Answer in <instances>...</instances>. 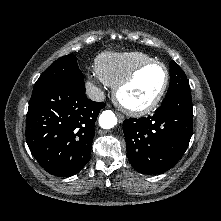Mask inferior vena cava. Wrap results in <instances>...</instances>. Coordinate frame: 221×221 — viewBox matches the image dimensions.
I'll return each mask as SVG.
<instances>
[{
    "label": "inferior vena cava",
    "mask_w": 221,
    "mask_h": 221,
    "mask_svg": "<svg viewBox=\"0 0 221 221\" xmlns=\"http://www.w3.org/2000/svg\"><path fill=\"white\" fill-rule=\"evenodd\" d=\"M86 94L93 101H103L105 99L104 92L94 85H89L86 89Z\"/></svg>",
    "instance_id": "inferior-vena-cava-1"
}]
</instances>
